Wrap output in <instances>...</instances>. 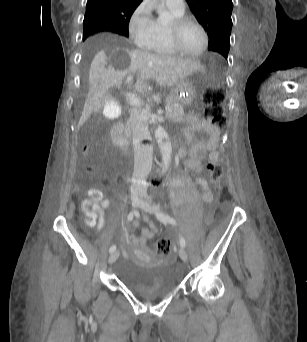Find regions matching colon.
Instances as JSON below:
<instances>
[{
  "label": "colon",
  "mask_w": 307,
  "mask_h": 342,
  "mask_svg": "<svg viewBox=\"0 0 307 342\" xmlns=\"http://www.w3.org/2000/svg\"><path fill=\"white\" fill-rule=\"evenodd\" d=\"M226 87H206L204 95V115L207 120L216 128L223 129L227 126L228 120L224 112L223 104L225 101ZM90 153V147L83 148V154ZM85 172L90 173L92 167L86 165ZM208 172L214 184H220L223 178L222 164L217 161H210L208 163ZM221 187H219L220 189ZM156 251L160 256H168L171 251V242L162 237L156 243Z\"/></svg>",
  "instance_id": "obj_1"
}]
</instances>
